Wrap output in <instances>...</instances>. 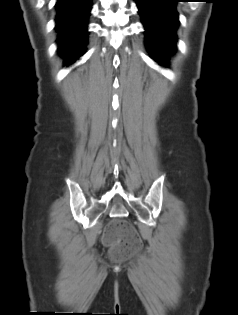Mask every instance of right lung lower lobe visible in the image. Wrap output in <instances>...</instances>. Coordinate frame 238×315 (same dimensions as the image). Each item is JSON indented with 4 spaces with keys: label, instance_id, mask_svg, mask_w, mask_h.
I'll return each mask as SVG.
<instances>
[{
    "label": "right lung lower lobe",
    "instance_id": "obj_1",
    "mask_svg": "<svg viewBox=\"0 0 238 315\" xmlns=\"http://www.w3.org/2000/svg\"><path fill=\"white\" fill-rule=\"evenodd\" d=\"M91 8V0H57L55 4L56 42L65 65L74 63L84 54Z\"/></svg>",
    "mask_w": 238,
    "mask_h": 315
}]
</instances>
